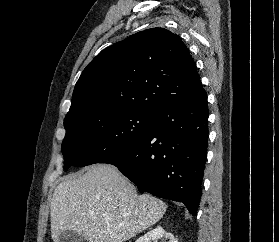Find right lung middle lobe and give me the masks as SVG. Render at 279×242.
Here are the masks:
<instances>
[{
	"label": "right lung middle lobe",
	"instance_id": "dd1d6c3e",
	"mask_svg": "<svg viewBox=\"0 0 279 242\" xmlns=\"http://www.w3.org/2000/svg\"><path fill=\"white\" fill-rule=\"evenodd\" d=\"M154 112L126 109L94 118L76 117L64 123V169L100 163L134 145L152 129Z\"/></svg>",
	"mask_w": 279,
	"mask_h": 242
}]
</instances>
